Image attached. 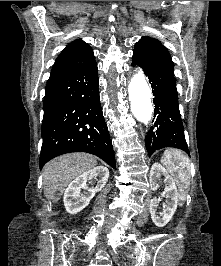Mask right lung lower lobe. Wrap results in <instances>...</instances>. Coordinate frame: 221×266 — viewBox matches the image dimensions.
Instances as JSON below:
<instances>
[{
	"label": "right lung lower lobe",
	"instance_id": "1",
	"mask_svg": "<svg viewBox=\"0 0 221 266\" xmlns=\"http://www.w3.org/2000/svg\"><path fill=\"white\" fill-rule=\"evenodd\" d=\"M40 169L52 158L87 152L115 168V156L105 123L94 60L87 66L48 81L44 97Z\"/></svg>",
	"mask_w": 221,
	"mask_h": 266
}]
</instances>
